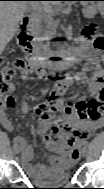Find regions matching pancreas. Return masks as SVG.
Listing matches in <instances>:
<instances>
[{
	"mask_svg": "<svg viewBox=\"0 0 104 189\" xmlns=\"http://www.w3.org/2000/svg\"><path fill=\"white\" fill-rule=\"evenodd\" d=\"M85 12L87 14L92 13V9L86 8ZM47 25H48V28L51 29V30H55V28L57 27V25L55 23L51 22V21H47ZM46 35H48V34H46Z\"/></svg>",
	"mask_w": 104,
	"mask_h": 189,
	"instance_id": "obj_1",
	"label": "pancreas"
}]
</instances>
